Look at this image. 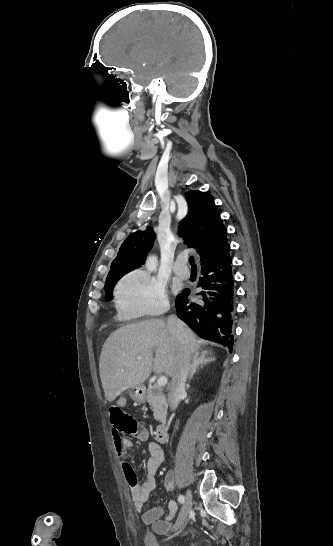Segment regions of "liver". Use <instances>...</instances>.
<instances>
[{"instance_id": "obj_1", "label": "liver", "mask_w": 333, "mask_h": 546, "mask_svg": "<svg viewBox=\"0 0 333 546\" xmlns=\"http://www.w3.org/2000/svg\"><path fill=\"white\" fill-rule=\"evenodd\" d=\"M190 354L201 341L186 328ZM141 356V360L137 357ZM178 363V343L163 320L150 319L121 327L103 345L99 370L106 399L145 382L152 372L172 377ZM123 370V371H122Z\"/></svg>"}]
</instances>
